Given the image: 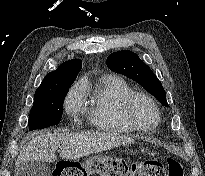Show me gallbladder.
Here are the masks:
<instances>
[{
    "mask_svg": "<svg viewBox=\"0 0 205 176\" xmlns=\"http://www.w3.org/2000/svg\"><path fill=\"white\" fill-rule=\"evenodd\" d=\"M51 169L44 163L39 161H29L20 164L16 169V176H50Z\"/></svg>",
    "mask_w": 205,
    "mask_h": 176,
    "instance_id": "bac80fb5",
    "label": "gallbladder"
}]
</instances>
